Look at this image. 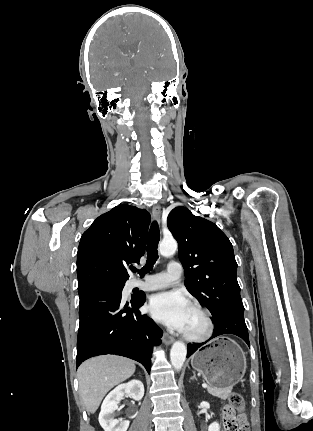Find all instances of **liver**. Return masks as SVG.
<instances>
[{
	"label": "liver",
	"mask_w": 313,
	"mask_h": 431,
	"mask_svg": "<svg viewBox=\"0 0 313 431\" xmlns=\"http://www.w3.org/2000/svg\"><path fill=\"white\" fill-rule=\"evenodd\" d=\"M134 372V362L119 356H98L83 362L77 376L87 412L94 414L106 393Z\"/></svg>",
	"instance_id": "1"
}]
</instances>
